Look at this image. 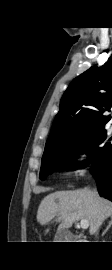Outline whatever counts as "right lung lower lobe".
<instances>
[{
  "label": "right lung lower lobe",
  "mask_w": 112,
  "mask_h": 270,
  "mask_svg": "<svg viewBox=\"0 0 112 270\" xmlns=\"http://www.w3.org/2000/svg\"><path fill=\"white\" fill-rule=\"evenodd\" d=\"M92 174L96 178L99 194L112 201V149L108 152L100 168Z\"/></svg>",
  "instance_id": "98d812e1"
}]
</instances>
